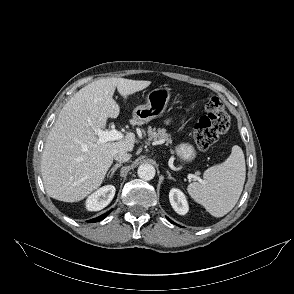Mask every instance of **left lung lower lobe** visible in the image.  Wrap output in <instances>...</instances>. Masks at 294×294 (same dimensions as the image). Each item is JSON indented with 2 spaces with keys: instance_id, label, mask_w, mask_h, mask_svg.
<instances>
[{
  "instance_id": "0a47b994",
  "label": "left lung lower lobe",
  "mask_w": 294,
  "mask_h": 294,
  "mask_svg": "<svg viewBox=\"0 0 294 294\" xmlns=\"http://www.w3.org/2000/svg\"><path fill=\"white\" fill-rule=\"evenodd\" d=\"M171 223H173V224H175L173 221H171L169 218H167ZM175 225H177V224H175Z\"/></svg>"
}]
</instances>
